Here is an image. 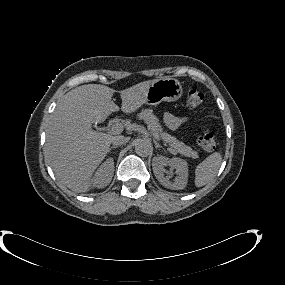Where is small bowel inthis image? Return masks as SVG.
I'll list each match as a JSON object with an SVG mask.
<instances>
[{
  "mask_svg": "<svg viewBox=\"0 0 285 285\" xmlns=\"http://www.w3.org/2000/svg\"><path fill=\"white\" fill-rule=\"evenodd\" d=\"M188 118L186 116H176L171 113H167L164 115L163 121L164 124L169 128V129H176L178 128L181 124L187 122Z\"/></svg>",
  "mask_w": 285,
  "mask_h": 285,
  "instance_id": "c3829d8e",
  "label": "small bowel"
}]
</instances>
